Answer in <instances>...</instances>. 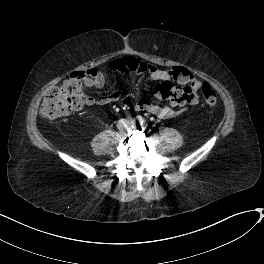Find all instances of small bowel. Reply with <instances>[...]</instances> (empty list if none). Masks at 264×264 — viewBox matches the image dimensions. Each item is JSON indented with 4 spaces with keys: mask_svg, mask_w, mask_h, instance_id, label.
Listing matches in <instances>:
<instances>
[{
    "mask_svg": "<svg viewBox=\"0 0 264 264\" xmlns=\"http://www.w3.org/2000/svg\"><path fill=\"white\" fill-rule=\"evenodd\" d=\"M108 68L111 71L118 72H133L135 74L140 73L142 70H148L150 72L148 81H164L170 82L172 77L167 70L159 69L152 63L141 62L133 57H125L116 59L109 63ZM89 70L83 71L87 73ZM83 81L86 85H92L96 88H103L106 84V78L102 74L96 76H85ZM122 98V92L119 90L113 91L109 94L99 96L97 98L85 97V103L87 105H100L107 106L119 101ZM195 100L192 103H195ZM135 109L137 111H146L152 115H155L162 119H167L175 116L177 110L171 106H159L150 102L149 99L142 97L135 102Z\"/></svg>",
    "mask_w": 264,
    "mask_h": 264,
    "instance_id": "obj_1",
    "label": "small bowel"
}]
</instances>
